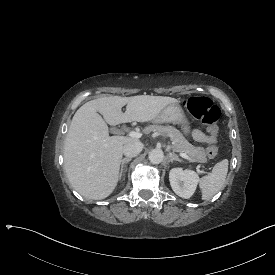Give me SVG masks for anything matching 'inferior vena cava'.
<instances>
[{"mask_svg":"<svg viewBox=\"0 0 275 275\" xmlns=\"http://www.w3.org/2000/svg\"><path fill=\"white\" fill-rule=\"evenodd\" d=\"M143 149V144L139 141H130L123 145V154L127 157L137 156Z\"/></svg>","mask_w":275,"mask_h":275,"instance_id":"obj_1","label":"inferior vena cava"}]
</instances>
